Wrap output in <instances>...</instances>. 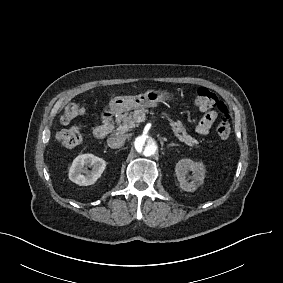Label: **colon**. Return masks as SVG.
Here are the masks:
<instances>
[{"label":"colon","instance_id":"5ec220e1","mask_svg":"<svg viewBox=\"0 0 283 283\" xmlns=\"http://www.w3.org/2000/svg\"><path fill=\"white\" fill-rule=\"evenodd\" d=\"M193 105L195 109L199 111L216 109L219 115L216 123V138L220 141L229 138L231 128L228 108L213 91L204 87L197 89L193 94ZM84 112L82 103L71 101L62 111L61 121L65 124L72 123L80 119L84 115ZM82 129L83 125L80 124L60 130L57 134L60 145L65 148H74L79 145L82 140Z\"/></svg>","mask_w":283,"mask_h":283}]
</instances>
